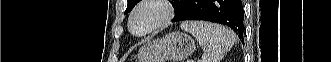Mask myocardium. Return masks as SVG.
Instances as JSON below:
<instances>
[{
	"label": "myocardium",
	"mask_w": 331,
	"mask_h": 62,
	"mask_svg": "<svg viewBox=\"0 0 331 62\" xmlns=\"http://www.w3.org/2000/svg\"><path fill=\"white\" fill-rule=\"evenodd\" d=\"M148 7H158L161 10L159 17L145 30L137 32L134 29V22L141 11ZM174 17V9L168 0H145L140 2L130 13L128 27L130 32L138 37H143L165 27Z\"/></svg>",
	"instance_id": "myocardium-1"
}]
</instances>
